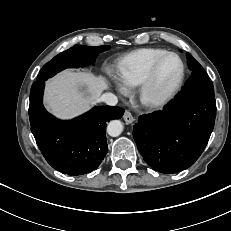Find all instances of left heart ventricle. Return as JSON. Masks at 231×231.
<instances>
[{
	"instance_id": "obj_1",
	"label": "left heart ventricle",
	"mask_w": 231,
	"mask_h": 231,
	"mask_svg": "<svg viewBox=\"0 0 231 231\" xmlns=\"http://www.w3.org/2000/svg\"><path fill=\"white\" fill-rule=\"evenodd\" d=\"M181 71V64L177 57H168L160 66L154 79L150 94L158 96L170 89L177 81Z\"/></svg>"
}]
</instances>
